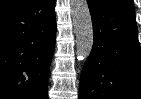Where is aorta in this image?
Wrapping results in <instances>:
<instances>
[{"label": "aorta", "instance_id": "762f6f07", "mask_svg": "<svg viewBox=\"0 0 141 99\" xmlns=\"http://www.w3.org/2000/svg\"><path fill=\"white\" fill-rule=\"evenodd\" d=\"M71 14L76 36V56L85 60L93 46V26L87 0H71Z\"/></svg>", "mask_w": 141, "mask_h": 99}]
</instances>
